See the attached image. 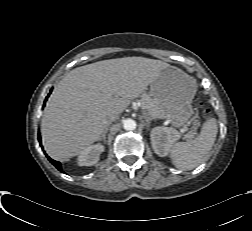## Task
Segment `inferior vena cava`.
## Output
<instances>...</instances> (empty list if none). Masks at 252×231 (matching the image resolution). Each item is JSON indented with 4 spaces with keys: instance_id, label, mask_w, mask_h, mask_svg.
<instances>
[{
    "instance_id": "602c4592",
    "label": "inferior vena cava",
    "mask_w": 252,
    "mask_h": 231,
    "mask_svg": "<svg viewBox=\"0 0 252 231\" xmlns=\"http://www.w3.org/2000/svg\"><path fill=\"white\" fill-rule=\"evenodd\" d=\"M116 119H118V114H111L107 117L105 123L106 125H110L112 122H114Z\"/></svg>"
}]
</instances>
